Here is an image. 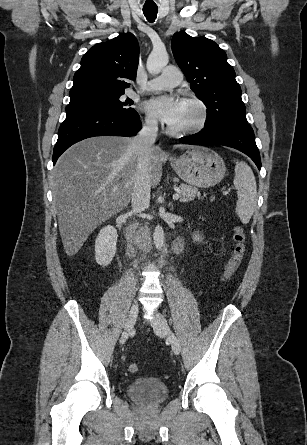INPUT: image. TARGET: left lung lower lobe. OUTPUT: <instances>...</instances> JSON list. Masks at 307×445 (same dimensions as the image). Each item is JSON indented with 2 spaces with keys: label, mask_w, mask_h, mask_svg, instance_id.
<instances>
[{
  "label": "left lung lower lobe",
  "mask_w": 307,
  "mask_h": 445,
  "mask_svg": "<svg viewBox=\"0 0 307 445\" xmlns=\"http://www.w3.org/2000/svg\"><path fill=\"white\" fill-rule=\"evenodd\" d=\"M180 142L193 145L217 144L232 147L248 155L258 169H261L259 150L255 143L253 129L249 124L221 123L204 128L194 135L182 137Z\"/></svg>",
  "instance_id": "left-lung-lower-lobe-1"
}]
</instances>
